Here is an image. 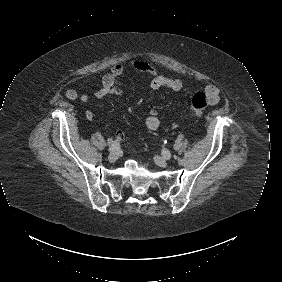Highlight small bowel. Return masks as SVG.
Here are the masks:
<instances>
[{"label":"small bowel","mask_w":282,"mask_h":282,"mask_svg":"<svg viewBox=\"0 0 282 282\" xmlns=\"http://www.w3.org/2000/svg\"><path fill=\"white\" fill-rule=\"evenodd\" d=\"M129 65L134 69L145 72L151 75L152 80L150 82V89L155 91L160 88H169L174 91H182L184 89V84L178 79H174L158 72L157 68L149 64L146 61L133 59L129 62ZM124 67L122 64H116L112 67L111 71L106 74L102 80L101 85L93 90V95L96 98H102L107 95H122V87L120 82V77L123 73ZM205 93L208 97V102L210 105H216L220 100V91L215 85H208L205 87ZM66 98L69 100H76L79 97L78 91L75 88L67 89ZM82 102H87L89 97L87 95H82L80 97ZM87 120L91 121L94 118V112L88 110L86 112ZM146 126L148 129L156 130L160 127L161 121L156 113H151L146 119ZM117 139L121 140L124 138V132L118 129L115 133Z\"/></svg>","instance_id":"c3829d8e"}]
</instances>
